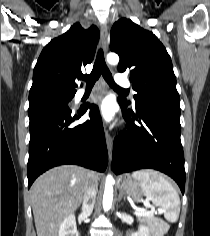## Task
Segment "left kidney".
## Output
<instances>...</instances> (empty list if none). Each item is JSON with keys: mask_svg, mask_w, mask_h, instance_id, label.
I'll return each instance as SVG.
<instances>
[{"mask_svg": "<svg viewBox=\"0 0 210 236\" xmlns=\"http://www.w3.org/2000/svg\"><path fill=\"white\" fill-rule=\"evenodd\" d=\"M132 236H150V228L147 226H139L138 231L134 232Z\"/></svg>", "mask_w": 210, "mask_h": 236, "instance_id": "1", "label": "left kidney"}]
</instances>
